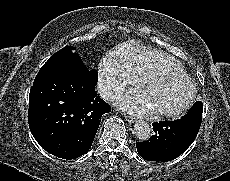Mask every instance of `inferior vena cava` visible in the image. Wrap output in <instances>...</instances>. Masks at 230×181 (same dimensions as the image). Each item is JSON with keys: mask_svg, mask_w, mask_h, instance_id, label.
Returning a JSON list of instances; mask_svg holds the SVG:
<instances>
[{"mask_svg": "<svg viewBox=\"0 0 230 181\" xmlns=\"http://www.w3.org/2000/svg\"><path fill=\"white\" fill-rule=\"evenodd\" d=\"M96 91L103 99L108 100L113 98L114 94H117L119 90L111 83L105 80H99L97 83Z\"/></svg>", "mask_w": 230, "mask_h": 181, "instance_id": "inferior-vena-cava-1", "label": "inferior vena cava"}]
</instances>
